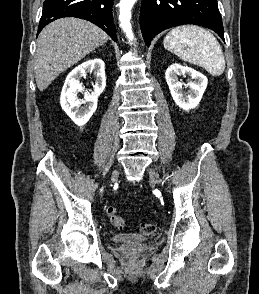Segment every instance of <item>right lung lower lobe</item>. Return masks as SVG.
Returning a JSON list of instances; mask_svg holds the SVG:
<instances>
[{
    "mask_svg": "<svg viewBox=\"0 0 259 294\" xmlns=\"http://www.w3.org/2000/svg\"><path fill=\"white\" fill-rule=\"evenodd\" d=\"M112 6L113 0H45L38 34L50 22L73 16L96 24L117 41Z\"/></svg>",
    "mask_w": 259,
    "mask_h": 294,
    "instance_id": "1",
    "label": "right lung lower lobe"
}]
</instances>
